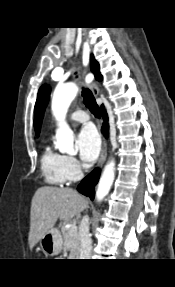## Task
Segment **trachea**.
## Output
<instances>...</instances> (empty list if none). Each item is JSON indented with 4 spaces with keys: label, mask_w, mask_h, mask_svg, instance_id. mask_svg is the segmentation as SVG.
<instances>
[{
    "label": "trachea",
    "mask_w": 175,
    "mask_h": 287,
    "mask_svg": "<svg viewBox=\"0 0 175 287\" xmlns=\"http://www.w3.org/2000/svg\"><path fill=\"white\" fill-rule=\"evenodd\" d=\"M82 97H83L84 104L91 111V113L95 117L100 118V116H101L100 108L97 105L96 100H95L92 92L88 88H83Z\"/></svg>",
    "instance_id": "obj_1"
}]
</instances>
